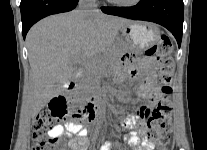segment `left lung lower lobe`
I'll return each mask as SVG.
<instances>
[{"instance_id": "obj_1", "label": "left lung lower lobe", "mask_w": 207, "mask_h": 150, "mask_svg": "<svg viewBox=\"0 0 207 150\" xmlns=\"http://www.w3.org/2000/svg\"><path fill=\"white\" fill-rule=\"evenodd\" d=\"M109 15L144 20L166 27L181 45L183 27V0H141L133 7H102Z\"/></svg>"}]
</instances>
